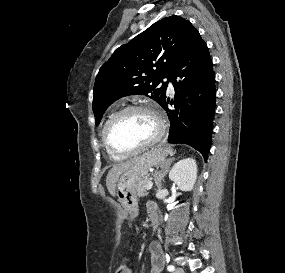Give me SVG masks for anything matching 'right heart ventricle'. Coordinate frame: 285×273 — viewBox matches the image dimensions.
I'll use <instances>...</instances> for the list:
<instances>
[{
	"instance_id": "e07e8e85",
	"label": "right heart ventricle",
	"mask_w": 285,
	"mask_h": 273,
	"mask_svg": "<svg viewBox=\"0 0 285 273\" xmlns=\"http://www.w3.org/2000/svg\"><path fill=\"white\" fill-rule=\"evenodd\" d=\"M110 116H111V114L108 115V117L106 118V120H105V122H104V124H103L102 132H101L103 147H104V149L106 150V152L109 154L110 157H112V158H114V159H123L124 156L115 154V153H113L112 151H110V150L106 147V145H105V143H104V140H103L104 127H105V125H106L108 119L110 118Z\"/></svg>"
}]
</instances>
